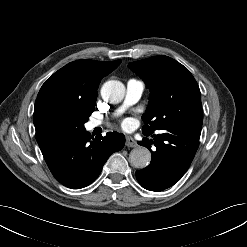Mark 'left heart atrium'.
<instances>
[{"label":"left heart atrium","mask_w":247,"mask_h":247,"mask_svg":"<svg viewBox=\"0 0 247 247\" xmlns=\"http://www.w3.org/2000/svg\"><path fill=\"white\" fill-rule=\"evenodd\" d=\"M130 123H131L130 120L126 119L123 121L122 125H123V127H128L130 125Z\"/></svg>","instance_id":"39dd6f15"}]
</instances>
